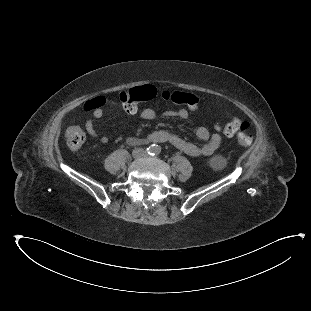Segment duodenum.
<instances>
[{
  "label": "duodenum",
  "instance_id": "1",
  "mask_svg": "<svg viewBox=\"0 0 311 311\" xmlns=\"http://www.w3.org/2000/svg\"><path fill=\"white\" fill-rule=\"evenodd\" d=\"M138 142L141 143V144L147 143L146 141H143V140H140V141H138Z\"/></svg>",
  "mask_w": 311,
  "mask_h": 311
}]
</instances>
